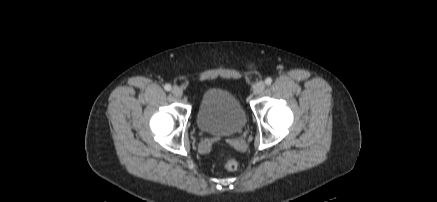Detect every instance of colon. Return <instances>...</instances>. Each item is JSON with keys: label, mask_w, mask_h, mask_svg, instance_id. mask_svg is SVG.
<instances>
[{"label": "colon", "mask_w": 437, "mask_h": 202, "mask_svg": "<svg viewBox=\"0 0 437 202\" xmlns=\"http://www.w3.org/2000/svg\"><path fill=\"white\" fill-rule=\"evenodd\" d=\"M220 157L223 160L224 166L231 171H234L238 168V161L228 153L221 151Z\"/></svg>", "instance_id": "5ec220e1"}]
</instances>
